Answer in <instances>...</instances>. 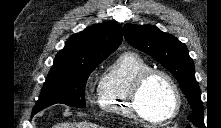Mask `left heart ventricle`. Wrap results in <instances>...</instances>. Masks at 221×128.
<instances>
[{"instance_id":"1","label":"left heart ventricle","mask_w":221,"mask_h":128,"mask_svg":"<svg viewBox=\"0 0 221 128\" xmlns=\"http://www.w3.org/2000/svg\"><path fill=\"white\" fill-rule=\"evenodd\" d=\"M172 93L167 81L161 76L149 79L139 93L138 105L149 117L161 118L172 107Z\"/></svg>"}]
</instances>
